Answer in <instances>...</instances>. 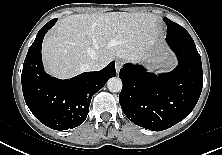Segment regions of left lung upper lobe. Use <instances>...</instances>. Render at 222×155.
<instances>
[{
    "instance_id": "obj_1",
    "label": "left lung upper lobe",
    "mask_w": 222,
    "mask_h": 155,
    "mask_svg": "<svg viewBox=\"0 0 222 155\" xmlns=\"http://www.w3.org/2000/svg\"><path fill=\"white\" fill-rule=\"evenodd\" d=\"M164 21L167 24L168 30L177 29V28L181 27L180 25L170 21L168 18H164ZM185 32H187V31L185 30Z\"/></svg>"
}]
</instances>
